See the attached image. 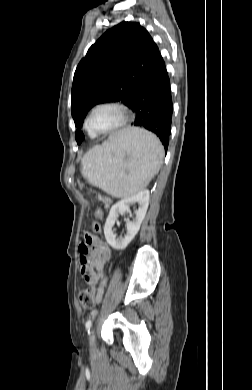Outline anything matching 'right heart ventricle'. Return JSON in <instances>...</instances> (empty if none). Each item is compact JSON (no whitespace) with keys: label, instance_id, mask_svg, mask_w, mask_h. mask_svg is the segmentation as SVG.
Returning <instances> with one entry per match:
<instances>
[{"label":"right heart ventricle","instance_id":"1","mask_svg":"<svg viewBox=\"0 0 252 390\" xmlns=\"http://www.w3.org/2000/svg\"><path fill=\"white\" fill-rule=\"evenodd\" d=\"M89 135H90L91 137H95V134H93V133H91V132H89Z\"/></svg>","mask_w":252,"mask_h":390}]
</instances>
